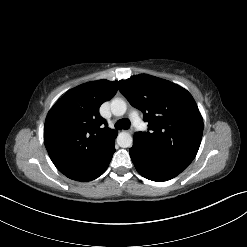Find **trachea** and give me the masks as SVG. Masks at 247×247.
<instances>
[{"label":"trachea","mask_w":247,"mask_h":247,"mask_svg":"<svg viewBox=\"0 0 247 247\" xmlns=\"http://www.w3.org/2000/svg\"><path fill=\"white\" fill-rule=\"evenodd\" d=\"M117 129H128L130 127V122L126 119H121L115 124Z\"/></svg>","instance_id":"1"}]
</instances>
